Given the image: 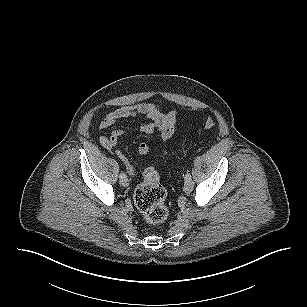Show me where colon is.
<instances>
[{
  "label": "colon",
  "mask_w": 307,
  "mask_h": 307,
  "mask_svg": "<svg viewBox=\"0 0 307 307\" xmlns=\"http://www.w3.org/2000/svg\"><path fill=\"white\" fill-rule=\"evenodd\" d=\"M215 126L212 118L206 119L204 128L210 130ZM166 190L160 183L158 172L153 167L143 171V181L134 192V203L145 221L151 225L163 223L169 216L165 203Z\"/></svg>",
  "instance_id": "colon-1"
}]
</instances>
